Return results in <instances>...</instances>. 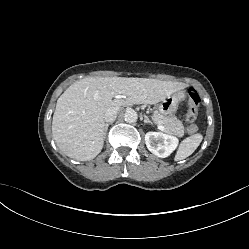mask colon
<instances>
[{"label":"colon","instance_id":"5ec220e1","mask_svg":"<svg viewBox=\"0 0 249 249\" xmlns=\"http://www.w3.org/2000/svg\"><path fill=\"white\" fill-rule=\"evenodd\" d=\"M187 98H188V112L186 114L185 121L188 133L193 134L196 131V126L194 122L198 114V109L200 105V96L194 89L190 88L187 91Z\"/></svg>","mask_w":249,"mask_h":249}]
</instances>
